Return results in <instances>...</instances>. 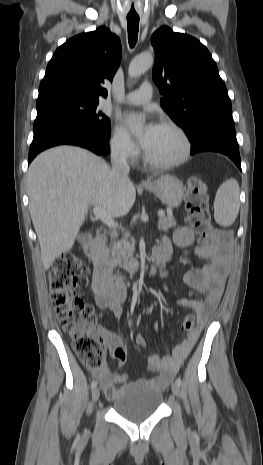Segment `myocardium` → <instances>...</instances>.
Instances as JSON below:
<instances>
[{"label": "myocardium", "instance_id": "myocardium-1", "mask_svg": "<svg viewBox=\"0 0 263 465\" xmlns=\"http://www.w3.org/2000/svg\"><path fill=\"white\" fill-rule=\"evenodd\" d=\"M160 126L172 129L179 135V137L181 138L182 143H183L182 152L177 158H175L173 160L158 161V160L152 158L147 153V151L144 150V159H145V161L149 165H151L152 167H155V168H158V169H170V168L176 167L178 165H181L182 163H184L189 158L190 153H191V148H192L191 140H190L187 132L179 124H177L176 122H173V121H163V122H161Z\"/></svg>", "mask_w": 263, "mask_h": 465}]
</instances>
